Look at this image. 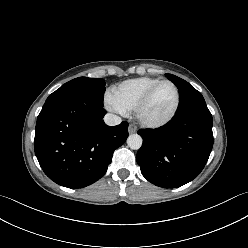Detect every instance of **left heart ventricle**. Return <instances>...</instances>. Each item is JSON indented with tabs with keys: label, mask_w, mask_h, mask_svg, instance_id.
<instances>
[{
	"label": "left heart ventricle",
	"mask_w": 248,
	"mask_h": 248,
	"mask_svg": "<svg viewBox=\"0 0 248 248\" xmlns=\"http://www.w3.org/2000/svg\"><path fill=\"white\" fill-rule=\"evenodd\" d=\"M175 104V91L169 84L161 85L151 96L143 110V117L149 121L166 118Z\"/></svg>",
	"instance_id": "left-heart-ventricle-1"
}]
</instances>
